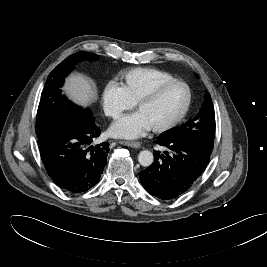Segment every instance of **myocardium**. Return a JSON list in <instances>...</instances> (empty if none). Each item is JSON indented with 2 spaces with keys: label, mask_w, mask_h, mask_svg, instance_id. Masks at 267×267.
<instances>
[{
  "label": "myocardium",
  "mask_w": 267,
  "mask_h": 267,
  "mask_svg": "<svg viewBox=\"0 0 267 267\" xmlns=\"http://www.w3.org/2000/svg\"><path fill=\"white\" fill-rule=\"evenodd\" d=\"M172 85H182L185 87L186 92H187V100H186L185 106L182 109V111L178 114V116L175 117L173 120L167 123L158 125V126L151 127L150 129L155 133H163V132L169 131L177 127L184 121L192 104V91H191L190 86L183 80L172 79V80H169V81H166V82H163L157 85L155 88H153L146 94L142 95L136 102V108L139 109L141 105L154 100L156 97H158L161 94L163 90H165L166 88Z\"/></svg>",
  "instance_id": "obj_1"
}]
</instances>
